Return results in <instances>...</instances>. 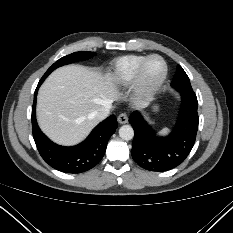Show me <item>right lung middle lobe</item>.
Segmentation results:
<instances>
[{
    "mask_svg": "<svg viewBox=\"0 0 233 233\" xmlns=\"http://www.w3.org/2000/svg\"><path fill=\"white\" fill-rule=\"evenodd\" d=\"M95 53L94 52H75L72 54H69L67 56H64L62 58H60L58 61H56L48 70L47 72L43 75L42 79H45L53 70H55L56 68L75 62V61H79V60H84L87 58H90L92 56H94Z\"/></svg>",
    "mask_w": 233,
    "mask_h": 233,
    "instance_id": "1",
    "label": "right lung middle lobe"
}]
</instances>
